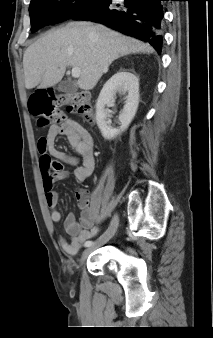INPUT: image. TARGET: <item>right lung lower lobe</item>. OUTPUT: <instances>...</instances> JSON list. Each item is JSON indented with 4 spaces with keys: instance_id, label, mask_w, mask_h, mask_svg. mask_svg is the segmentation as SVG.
I'll use <instances>...</instances> for the list:
<instances>
[{
    "instance_id": "1",
    "label": "right lung lower lobe",
    "mask_w": 213,
    "mask_h": 338,
    "mask_svg": "<svg viewBox=\"0 0 213 338\" xmlns=\"http://www.w3.org/2000/svg\"><path fill=\"white\" fill-rule=\"evenodd\" d=\"M163 1L165 0H96L71 19L101 23L150 43L160 54Z\"/></svg>"
}]
</instances>
